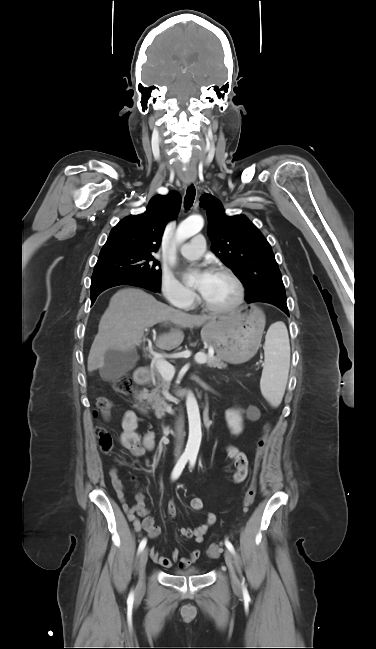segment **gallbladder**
<instances>
[{"label":"gallbladder","instance_id":"bac80fb5","mask_svg":"<svg viewBox=\"0 0 376 649\" xmlns=\"http://www.w3.org/2000/svg\"><path fill=\"white\" fill-rule=\"evenodd\" d=\"M138 360L135 350L120 351L108 349L104 355V365L99 369L103 380H115L132 369Z\"/></svg>","mask_w":376,"mask_h":649}]
</instances>
